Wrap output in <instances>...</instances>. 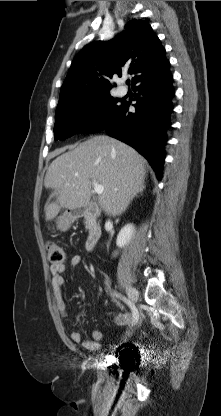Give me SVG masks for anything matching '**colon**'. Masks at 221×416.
I'll list each match as a JSON object with an SVG mask.
<instances>
[{
	"label": "colon",
	"mask_w": 221,
	"mask_h": 416,
	"mask_svg": "<svg viewBox=\"0 0 221 416\" xmlns=\"http://www.w3.org/2000/svg\"><path fill=\"white\" fill-rule=\"evenodd\" d=\"M47 248L49 261L52 264L59 265L65 261L66 254L64 249L60 245L50 242L48 243Z\"/></svg>",
	"instance_id": "colon-1"
}]
</instances>
